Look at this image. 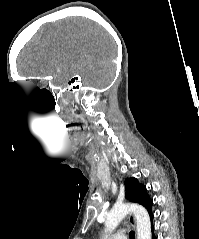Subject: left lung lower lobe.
<instances>
[{
    "mask_svg": "<svg viewBox=\"0 0 199 239\" xmlns=\"http://www.w3.org/2000/svg\"><path fill=\"white\" fill-rule=\"evenodd\" d=\"M150 218H151V227H152V237H153V239H157V238L155 237V235H154V227H153V222H152V220H153V215H152V214H150Z\"/></svg>",
    "mask_w": 199,
    "mask_h": 239,
    "instance_id": "0a47b994",
    "label": "left lung lower lobe"
}]
</instances>
